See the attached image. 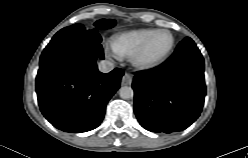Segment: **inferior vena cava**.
Returning <instances> with one entry per match:
<instances>
[{
	"mask_svg": "<svg viewBox=\"0 0 248 158\" xmlns=\"http://www.w3.org/2000/svg\"><path fill=\"white\" fill-rule=\"evenodd\" d=\"M98 69L102 73H108L114 69V64L108 60H102L98 64Z\"/></svg>",
	"mask_w": 248,
	"mask_h": 158,
	"instance_id": "inferior-vena-cava-1",
	"label": "inferior vena cava"
}]
</instances>
